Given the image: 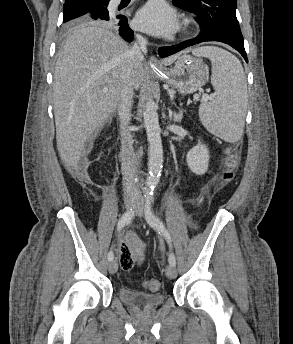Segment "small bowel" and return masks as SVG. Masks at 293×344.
<instances>
[{
  "label": "small bowel",
  "instance_id": "1",
  "mask_svg": "<svg viewBox=\"0 0 293 344\" xmlns=\"http://www.w3.org/2000/svg\"><path fill=\"white\" fill-rule=\"evenodd\" d=\"M146 244L134 232L128 231L118 243L121 268L129 271L144 258Z\"/></svg>",
  "mask_w": 293,
  "mask_h": 344
}]
</instances>
